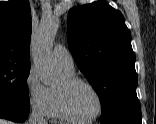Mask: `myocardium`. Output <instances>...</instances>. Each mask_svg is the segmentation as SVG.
<instances>
[{"instance_id": "myocardium-1", "label": "myocardium", "mask_w": 156, "mask_h": 124, "mask_svg": "<svg viewBox=\"0 0 156 124\" xmlns=\"http://www.w3.org/2000/svg\"><path fill=\"white\" fill-rule=\"evenodd\" d=\"M63 79H64L63 86L59 88H55L58 106L63 117L70 122L79 123V124H87L96 121L104 111V100L97 87L90 81L77 76L66 75ZM77 84H82L90 88L97 98L98 110L96 114L90 118L87 119L79 118L69 108L66 93L68 88Z\"/></svg>"}]
</instances>
